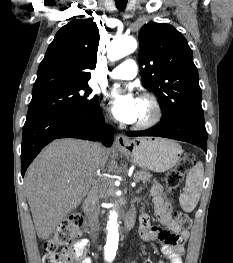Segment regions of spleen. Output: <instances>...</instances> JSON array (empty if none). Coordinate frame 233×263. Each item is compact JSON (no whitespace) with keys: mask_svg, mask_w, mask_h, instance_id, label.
<instances>
[{"mask_svg":"<svg viewBox=\"0 0 233 263\" xmlns=\"http://www.w3.org/2000/svg\"><path fill=\"white\" fill-rule=\"evenodd\" d=\"M203 180L204 167L202 162H198L187 174L185 189L179 198L180 205L185 212L193 211L198 204Z\"/></svg>","mask_w":233,"mask_h":263,"instance_id":"spleen-1","label":"spleen"}]
</instances>
